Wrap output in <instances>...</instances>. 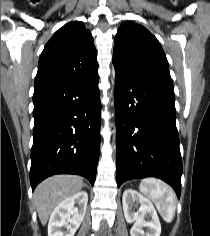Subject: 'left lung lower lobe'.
Instances as JSON below:
<instances>
[{"label":"left lung lower lobe","instance_id":"1","mask_svg":"<svg viewBox=\"0 0 210 236\" xmlns=\"http://www.w3.org/2000/svg\"><path fill=\"white\" fill-rule=\"evenodd\" d=\"M117 185L158 177L181 193L182 160L172 85L116 73Z\"/></svg>","mask_w":210,"mask_h":236}]
</instances>
